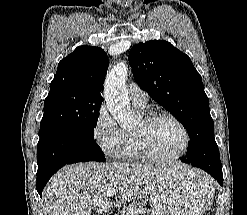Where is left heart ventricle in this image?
Masks as SVG:
<instances>
[{
    "label": "left heart ventricle",
    "instance_id": "1",
    "mask_svg": "<svg viewBox=\"0 0 247 215\" xmlns=\"http://www.w3.org/2000/svg\"><path fill=\"white\" fill-rule=\"evenodd\" d=\"M146 128L152 148L162 155H174L181 151L184 136L179 126L168 118H161L145 127L143 120L135 131Z\"/></svg>",
    "mask_w": 247,
    "mask_h": 215
}]
</instances>
